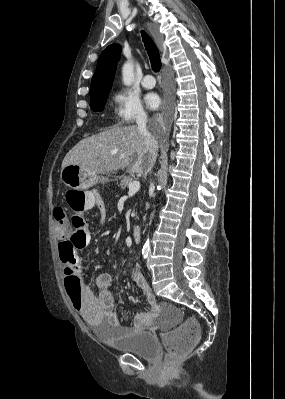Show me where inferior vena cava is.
Listing matches in <instances>:
<instances>
[{
    "instance_id": "602c4592",
    "label": "inferior vena cava",
    "mask_w": 285,
    "mask_h": 399,
    "mask_svg": "<svg viewBox=\"0 0 285 399\" xmlns=\"http://www.w3.org/2000/svg\"><path fill=\"white\" fill-rule=\"evenodd\" d=\"M136 123H137L139 130L143 133V135L145 137L149 153L151 154V166L149 169V171H151L152 166L154 165V162L156 159L157 141L155 140L154 136L147 131V128H146L147 115L145 113H141L137 116ZM151 186H152V184H151Z\"/></svg>"
}]
</instances>
